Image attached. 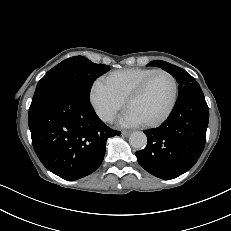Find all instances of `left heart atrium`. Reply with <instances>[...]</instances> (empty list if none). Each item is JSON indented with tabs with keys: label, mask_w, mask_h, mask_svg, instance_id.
Segmentation results:
<instances>
[{
	"label": "left heart atrium",
	"mask_w": 231,
	"mask_h": 231,
	"mask_svg": "<svg viewBox=\"0 0 231 231\" xmlns=\"http://www.w3.org/2000/svg\"><path fill=\"white\" fill-rule=\"evenodd\" d=\"M119 123L122 126L134 127L142 124V121L130 110H127L123 116L120 118Z\"/></svg>",
	"instance_id": "1"
}]
</instances>
